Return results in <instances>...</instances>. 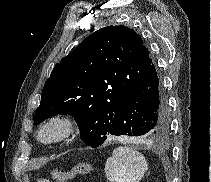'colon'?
Segmentation results:
<instances>
[{
	"label": "colon",
	"instance_id": "5ec220e1",
	"mask_svg": "<svg viewBox=\"0 0 211 182\" xmlns=\"http://www.w3.org/2000/svg\"><path fill=\"white\" fill-rule=\"evenodd\" d=\"M93 171V165L90 162H82L68 171L54 170L52 176L58 182H66L79 175H87ZM38 182H49L46 178L39 179Z\"/></svg>",
	"mask_w": 211,
	"mask_h": 182
}]
</instances>
